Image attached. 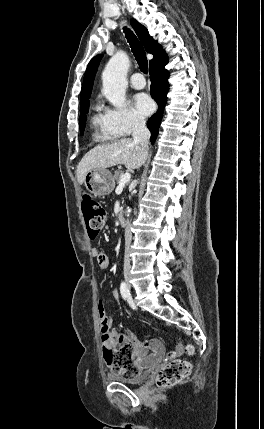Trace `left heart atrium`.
<instances>
[{"instance_id": "left-heart-atrium-1", "label": "left heart atrium", "mask_w": 264, "mask_h": 429, "mask_svg": "<svg viewBox=\"0 0 264 429\" xmlns=\"http://www.w3.org/2000/svg\"><path fill=\"white\" fill-rule=\"evenodd\" d=\"M134 110L140 116L149 115L154 108L153 101L145 93H139L134 97Z\"/></svg>"}]
</instances>
